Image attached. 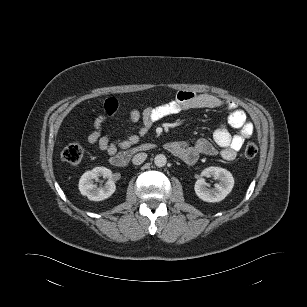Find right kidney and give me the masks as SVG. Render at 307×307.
Returning a JSON list of instances; mask_svg holds the SVG:
<instances>
[{"label":"right kidney","mask_w":307,"mask_h":307,"mask_svg":"<svg viewBox=\"0 0 307 307\" xmlns=\"http://www.w3.org/2000/svg\"><path fill=\"white\" fill-rule=\"evenodd\" d=\"M99 177L108 178L103 187H97L94 179ZM112 178V172L105 167H96L85 172L79 180V190L83 196L92 201H102L109 198L116 190V186Z\"/></svg>","instance_id":"right-kidney-1"}]
</instances>
